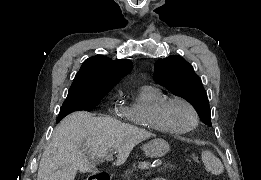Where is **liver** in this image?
I'll return each mask as SVG.
<instances>
[{
    "label": "liver",
    "mask_w": 261,
    "mask_h": 180,
    "mask_svg": "<svg viewBox=\"0 0 261 180\" xmlns=\"http://www.w3.org/2000/svg\"><path fill=\"white\" fill-rule=\"evenodd\" d=\"M154 134L115 120L73 112L56 126L39 164L37 180H75L77 172H93L97 158L115 150L117 166L125 164L133 148Z\"/></svg>",
    "instance_id": "liver-1"
}]
</instances>
